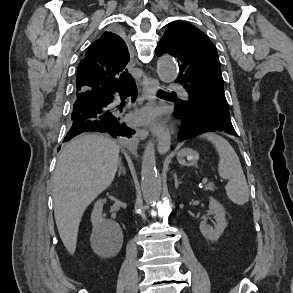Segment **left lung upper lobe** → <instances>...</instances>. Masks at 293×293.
I'll list each match as a JSON object with an SVG mask.
<instances>
[{"label": "left lung upper lobe", "instance_id": "obj_1", "mask_svg": "<svg viewBox=\"0 0 293 293\" xmlns=\"http://www.w3.org/2000/svg\"><path fill=\"white\" fill-rule=\"evenodd\" d=\"M156 53H169L178 59L180 74L176 82L189 98L200 102L205 112L229 115L218 53L202 31L187 22L174 21L167 27Z\"/></svg>", "mask_w": 293, "mask_h": 293}]
</instances>
